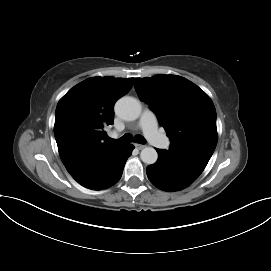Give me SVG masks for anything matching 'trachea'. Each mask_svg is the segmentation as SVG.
Instances as JSON below:
<instances>
[{
  "label": "trachea",
  "instance_id": "1",
  "mask_svg": "<svg viewBox=\"0 0 271 271\" xmlns=\"http://www.w3.org/2000/svg\"><path fill=\"white\" fill-rule=\"evenodd\" d=\"M132 141H133V137H132V135H130V134H125V135L122 136L120 139L115 140V142H117V143H122V144H124V143H130V142H132ZM134 142L140 143V144H144V143L146 142V140H145V138H144L143 136L137 135V136H135V138H134Z\"/></svg>",
  "mask_w": 271,
  "mask_h": 271
}]
</instances>
